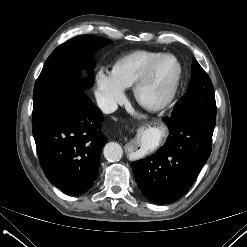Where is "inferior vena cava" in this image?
I'll return each instance as SVG.
<instances>
[{"mask_svg": "<svg viewBox=\"0 0 247 247\" xmlns=\"http://www.w3.org/2000/svg\"><path fill=\"white\" fill-rule=\"evenodd\" d=\"M98 107L105 114L113 113L117 110L118 105L115 101L105 98H99L97 100Z\"/></svg>", "mask_w": 247, "mask_h": 247, "instance_id": "1", "label": "inferior vena cava"}]
</instances>
